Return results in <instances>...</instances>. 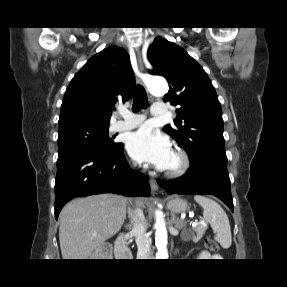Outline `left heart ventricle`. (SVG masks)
I'll return each mask as SVG.
<instances>
[{"instance_id":"obj_1","label":"left heart ventricle","mask_w":287,"mask_h":287,"mask_svg":"<svg viewBox=\"0 0 287 287\" xmlns=\"http://www.w3.org/2000/svg\"><path fill=\"white\" fill-rule=\"evenodd\" d=\"M176 164H177V158H176V156L172 153V155H171V157H170V159H169V162H168L166 168L174 167Z\"/></svg>"}]
</instances>
